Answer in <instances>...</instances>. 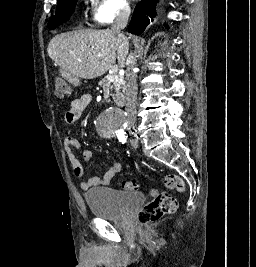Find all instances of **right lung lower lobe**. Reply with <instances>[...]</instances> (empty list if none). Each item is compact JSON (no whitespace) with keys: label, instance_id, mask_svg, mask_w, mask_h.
Masks as SVG:
<instances>
[{"label":"right lung lower lobe","instance_id":"obj_1","mask_svg":"<svg viewBox=\"0 0 256 267\" xmlns=\"http://www.w3.org/2000/svg\"><path fill=\"white\" fill-rule=\"evenodd\" d=\"M156 2L157 0H145L137 4L128 27L129 32L139 35L145 30L150 23V18L154 17Z\"/></svg>","mask_w":256,"mask_h":267}]
</instances>
